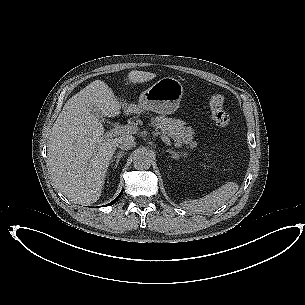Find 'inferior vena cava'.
I'll use <instances>...</instances> for the list:
<instances>
[{"mask_svg": "<svg viewBox=\"0 0 305 305\" xmlns=\"http://www.w3.org/2000/svg\"><path fill=\"white\" fill-rule=\"evenodd\" d=\"M136 146L134 137L130 135L122 136L118 139V147L122 150H130Z\"/></svg>", "mask_w": 305, "mask_h": 305, "instance_id": "inferior-vena-cava-1", "label": "inferior vena cava"}]
</instances>
